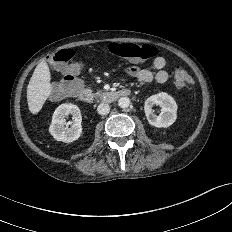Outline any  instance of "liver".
Listing matches in <instances>:
<instances>
[{
  "label": "liver",
  "mask_w": 232,
  "mask_h": 232,
  "mask_svg": "<svg viewBox=\"0 0 232 232\" xmlns=\"http://www.w3.org/2000/svg\"><path fill=\"white\" fill-rule=\"evenodd\" d=\"M49 66L42 60L35 68L27 86L28 107L32 114H37L52 91Z\"/></svg>",
  "instance_id": "liver-1"
}]
</instances>
